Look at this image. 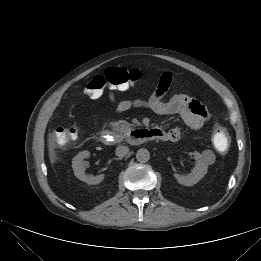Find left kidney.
I'll return each instance as SVG.
<instances>
[{"mask_svg":"<svg viewBox=\"0 0 261 261\" xmlns=\"http://www.w3.org/2000/svg\"><path fill=\"white\" fill-rule=\"evenodd\" d=\"M193 155L196 160V165L192 169V172L188 175L174 174V177L178 183L185 186H193L198 183L205 176L208 170V165L204 161L202 155L197 151H194Z\"/></svg>","mask_w":261,"mask_h":261,"instance_id":"obj_1","label":"left kidney"}]
</instances>
